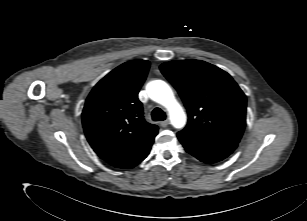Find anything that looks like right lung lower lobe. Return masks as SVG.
Listing matches in <instances>:
<instances>
[{"label": "right lung lower lobe", "mask_w": 307, "mask_h": 221, "mask_svg": "<svg viewBox=\"0 0 307 221\" xmlns=\"http://www.w3.org/2000/svg\"><path fill=\"white\" fill-rule=\"evenodd\" d=\"M152 145V144H151ZM151 145L145 149L141 154H139L137 157H135L133 160H131L130 162H128L126 165L120 167V168H133L134 166H136L137 164H139L143 159H145L147 157V155L150 152L151 149Z\"/></svg>", "instance_id": "98d812e1"}]
</instances>
